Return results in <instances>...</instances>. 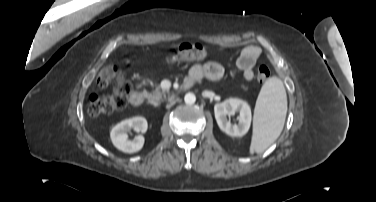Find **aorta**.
I'll return each instance as SVG.
<instances>
[{
  "instance_id": "aorta-1",
  "label": "aorta",
  "mask_w": 376,
  "mask_h": 202,
  "mask_svg": "<svg viewBox=\"0 0 376 202\" xmlns=\"http://www.w3.org/2000/svg\"><path fill=\"white\" fill-rule=\"evenodd\" d=\"M184 101H185L186 104H189V105L194 104L195 101H196V96H195V94H193V93H191V92L187 93V94L185 95V97H184Z\"/></svg>"
}]
</instances>
